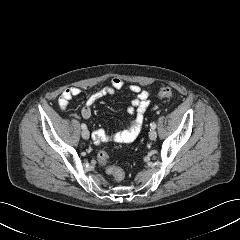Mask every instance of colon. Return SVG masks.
<instances>
[{
  "mask_svg": "<svg viewBox=\"0 0 240 240\" xmlns=\"http://www.w3.org/2000/svg\"><path fill=\"white\" fill-rule=\"evenodd\" d=\"M158 95L162 98L169 99L172 97V90L168 86H162L158 90ZM97 160L99 165L104 168L115 181L121 182L125 178L124 171L111 164L110 157L106 152H99L97 155Z\"/></svg>",
  "mask_w": 240,
  "mask_h": 240,
  "instance_id": "obj_1",
  "label": "colon"
}]
</instances>
